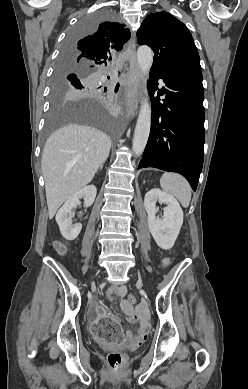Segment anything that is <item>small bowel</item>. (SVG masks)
<instances>
[{
  "instance_id": "1",
  "label": "small bowel",
  "mask_w": 248,
  "mask_h": 389,
  "mask_svg": "<svg viewBox=\"0 0 248 389\" xmlns=\"http://www.w3.org/2000/svg\"><path fill=\"white\" fill-rule=\"evenodd\" d=\"M169 260L165 259L163 264L164 266L168 265ZM127 293V289L124 286L119 287H111L106 291V296L109 299H113L115 296L119 297L121 299L120 305L122 310L127 314L128 321L130 323H139V328L137 331V334L134 335L131 331H126L125 336L121 340V345L129 348V349H136L138 348L147 338L150 327L149 323L146 317V313L144 308L138 307L136 310L133 309V307L128 306L127 299H125ZM114 322H118V316L114 314H107ZM89 316L91 318L95 317V313L92 311L90 312Z\"/></svg>"
}]
</instances>
